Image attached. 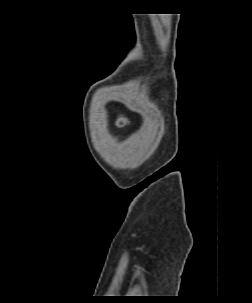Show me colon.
Listing matches in <instances>:
<instances>
[{
  "mask_svg": "<svg viewBox=\"0 0 252 303\" xmlns=\"http://www.w3.org/2000/svg\"><path fill=\"white\" fill-rule=\"evenodd\" d=\"M118 124H119L120 126H123V125H125V120H123V119H120V120L118 121Z\"/></svg>",
  "mask_w": 252,
  "mask_h": 303,
  "instance_id": "colon-1",
  "label": "colon"
}]
</instances>
